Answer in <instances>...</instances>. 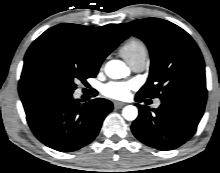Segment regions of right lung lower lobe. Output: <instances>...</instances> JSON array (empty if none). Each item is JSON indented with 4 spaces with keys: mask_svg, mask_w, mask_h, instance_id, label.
<instances>
[{
    "mask_svg": "<svg viewBox=\"0 0 220 173\" xmlns=\"http://www.w3.org/2000/svg\"><path fill=\"white\" fill-rule=\"evenodd\" d=\"M27 122L46 146L61 152L89 144L113 109L109 100L98 98L85 104L72 93L39 91L21 98Z\"/></svg>",
    "mask_w": 220,
    "mask_h": 173,
    "instance_id": "98d812e1",
    "label": "right lung lower lobe"
}]
</instances>
